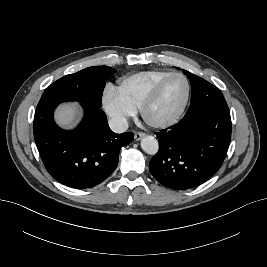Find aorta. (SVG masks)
<instances>
[{
    "mask_svg": "<svg viewBox=\"0 0 267 267\" xmlns=\"http://www.w3.org/2000/svg\"><path fill=\"white\" fill-rule=\"evenodd\" d=\"M141 148L149 155H155L158 152V141L153 136H145L141 140Z\"/></svg>",
    "mask_w": 267,
    "mask_h": 267,
    "instance_id": "1",
    "label": "aorta"
}]
</instances>
